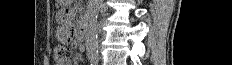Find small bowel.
<instances>
[{
	"label": "small bowel",
	"instance_id": "c3829d8e",
	"mask_svg": "<svg viewBox=\"0 0 232 65\" xmlns=\"http://www.w3.org/2000/svg\"><path fill=\"white\" fill-rule=\"evenodd\" d=\"M74 12H58L55 16V21H67L68 17H74ZM72 23H61V26L57 27L56 37L60 45H70V47H81V42H73L71 37H76V32H70ZM60 65H72L70 60H66Z\"/></svg>",
	"mask_w": 232,
	"mask_h": 65
}]
</instances>
